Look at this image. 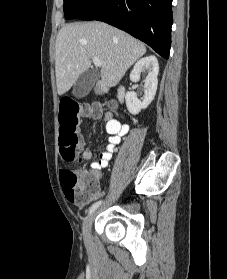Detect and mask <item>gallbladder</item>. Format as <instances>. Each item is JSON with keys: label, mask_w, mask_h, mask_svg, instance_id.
Listing matches in <instances>:
<instances>
[{"label": "gallbladder", "mask_w": 227, "mask_h": 279, "mask_svg": "<svg viewBox=\"0 0 227 279\" xmlns=\"http://www.w3.org/2000/svg\"><path fill=\"white\" fill-rule=\"evenodd\" d=\"M99 74L95 70H87L83 72L73 86V95L77 98L85 97L89 94Z\"/></svg>", "instance_id": "gallbladder-1"}]
</instances>
